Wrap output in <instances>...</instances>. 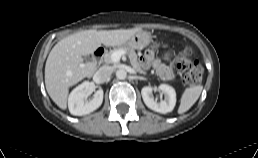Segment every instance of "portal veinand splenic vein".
Segmentation results:
<instances>
[{
	"label": "portal vein and splenic vein",
	"instance_id": "18ae733b",
	"mask_svg": "<svg viewBox=\"0 0 258 158\" xmlns=\"http://www.w3.org/2000/svg\"><path fill=\"white\" fill-rule=\"evenodd\" d=\"M125 54V51L124 50H119V51H116L114 52L112 55H111V59L113 62H119L120 61V58L121 56H123Z\"/></svg>",
	"mask_w": 258,
	"mask_h": 158
}]
</instances>
